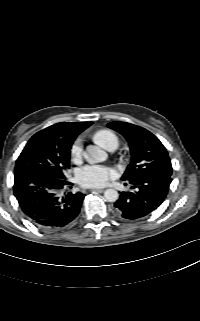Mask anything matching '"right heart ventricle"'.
I'll list each match as a JSON object with an SVG mask.
<instances>
[{
    "label": "right heart ventricle",
    "instance_id": "e07e8e85",
    "mask_svg": "<svg viewBox=\"0 0 200 321\" xmlns=\"http://www.w3.org/2000/svg\"><path fill=\"white\" fill-rule=\"evenodd\" d=\"M94 140L106 149H115L119 144L118 136L111 130L101 129L94 134Z\"/></svg>",
    "mask_w": 200,
    "mask_h": 321
}]
</instances>
